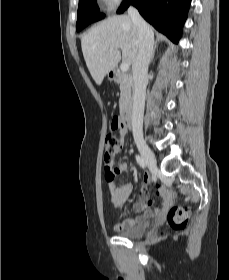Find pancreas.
I'll return each mask as SVG.
<instances>
[{
    "label": "pancreas",
    "mask_w": 229,
    "mask_h": 280,
    "mask_svg": "<svg viewBox=\"0 0 229 280\" xmlns=\"http://www.w3.org/2000/svg\"><path fill=\"white\" fill-rule=\"evenodd\" d=\"M120 100H119V106L120 110L122 111L125 107V105L130 101L132 97V82L131 79L122 74L120 78Z\"/></svg>",
    "instance_id": "obj_1"
}]
</instances>
